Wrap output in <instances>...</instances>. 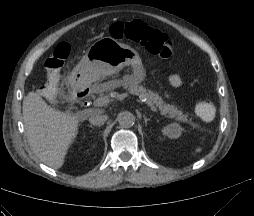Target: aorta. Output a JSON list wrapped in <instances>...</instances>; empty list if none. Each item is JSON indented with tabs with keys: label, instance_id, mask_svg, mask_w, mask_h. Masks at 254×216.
Here are the masks:
<instances>
[{
	"label": "aorta",
	"instance_id": "1",
	"mask_svg": "<svg viewBox=\"0 0 254 216\" xmlns=\"http://www.w3.org/2000/svg\"><path fill=\"white\" fill-rule=\"evenodd\" d=\"M135 116L129 111L120 112L117 116V120L121 127L130 128L135 124Z\"/></svg>",
	"mask_w": 254,
	"mask_h": 216
}]
</instances>
